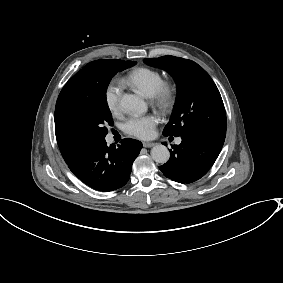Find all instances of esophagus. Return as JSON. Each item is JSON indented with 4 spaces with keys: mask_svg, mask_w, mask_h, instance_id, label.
I'll use <instances>...</instances> for the list:
<instances>
[{
    "mask_svg": "<svg viewBox=\"0 0 283 283\" xmlns=\"http://www.w3.org/2000/svg\"><path fill=\"white\" fill-rule=\"evenodd\" d=\"M157 143H155V142H144L143 143V146L145 147V148H151V147H153V146H155Z\"/></svg>",
    "mask_w": 283,
    "mask_h": 283,
    "instance_id": "1",
    "label": "esophagus"
}]
</instances>
